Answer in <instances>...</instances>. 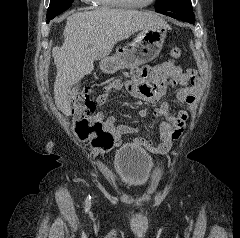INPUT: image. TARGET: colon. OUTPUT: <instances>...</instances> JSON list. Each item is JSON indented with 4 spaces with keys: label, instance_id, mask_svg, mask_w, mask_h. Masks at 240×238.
<instances>
[{
    "label": "colon",
    "instance_id": "obj_1",
    "mask_svg": "<svg viewBox=\"0 0 240 238\" xmlns=\"http://www.w3.org/2000/svg\"><path fill=\"white\" fill-rule=\"evenodd\" d=\"M170 55L177 59L181 55L179 47H171ZM95 103L91 99L88 87L80 91L72 100L73 129L85 140H89L94 151L100 152L113 143V136L106 130L101 121H93Z\"/></svg>",
    "mask_w": 240,
    "mask_h": 238
}]
</instances>
